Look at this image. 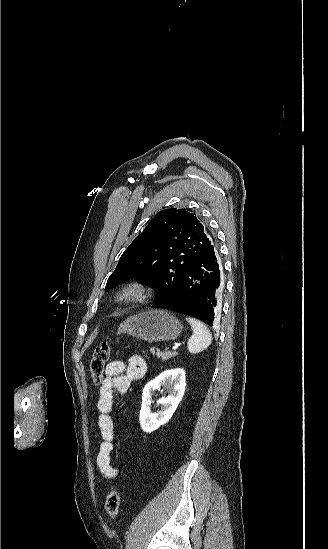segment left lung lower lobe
I'll return each mask as SVG.
<instances>
[{
    "mask_svg": "<svg viewBox=\"0 0 328 549\" xmlns=\"http://www.w3.org/2000/svg\"><path fill=\"white\" fill-rule=\"evenodd\" d=\"M222 289L217 250L213 245L189 265L172 292L155 300L153 308L176 311L213 325L217 320V299Z\"/></svg>",
    "mask_w": 328,
    "mask_h": 549,
    "instance_id": "left-lung-lower-lobe-1",
    "label": "left lung lower lobe"
}]
</instances>
